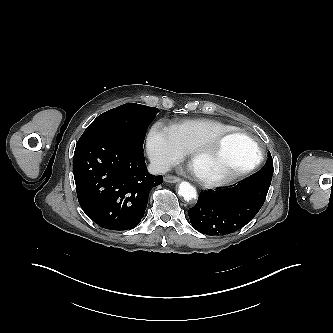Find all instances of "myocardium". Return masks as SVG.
<instances>
[{"mask_svg": "<svg viewBox=\"0 0 333 333\" xmlns=\"http://www.w3.org/2000/svg\"><path fill=\"white\" fill-rule=\"evenodd\" d=\"M232 135H242V136L246 137L249 141H251V143L255 146V149H256V157L247 166H244L242 168H239L237 170H234L232 172H229V173L221 175V176H204L197 172H194L197 180L204 186L219 187V186L229 184V183L237 180L238 178L250 173L260 164V162L262 160V153H263L260 143L245 130L240 129V128H232L227 131L218 133V134L212 136L211 138H209L208 140L193 147L189 151V161H190L191 165L198 157L211 153L223 139H225L226 137L232 136Z\"/></svg>", "mask_w": 333, "mask_h": 333, "instance_id": "myocardium-1", "label": "myocardium"}]
</instances>
